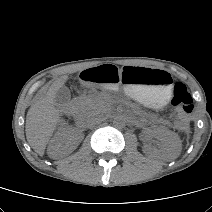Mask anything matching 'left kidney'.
Masks as SVG:
<instances>
[{
  "mask_svg": "<svg viewBox=\"0 0 212 212\" xmlns=\"http://www.w3.org/2000/svg\"><path fill=\"white\" fill-rule=\"evenodd\" d=\"M155 138L162 142L161 148L158 150L165 160H174L181 151V141L176 133L165 128H157L153 131ZM145 154H151L153 149L150 146H144Z\"/></svg>",
  "mask_w": 212,
  "mask_h": 212,
  "instance_id": "obj_1",
  "label": "left kidney"
}]
</instances>
